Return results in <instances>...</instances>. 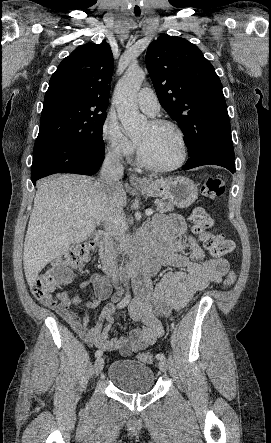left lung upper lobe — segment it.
Segmentation results:
<instances>
[{
  "label": "left lung upper lobe",
  "mask_w": 271,
  "mask_h": 443,
  "mask_svg": "<svg viewBox=\"0 0 271 443\" xmlns=\"http://www.w3.org/2000/svg\"><path fill=\"white\" fill-rule=\"evenodd\" d=\"M146 66L160 103L181 127L189 155L213 142L232 144L222 84L196 45L162 35L149 45Z\"/></svg>",
  "instance_id": "5c2ea615"
}]
</instances>
